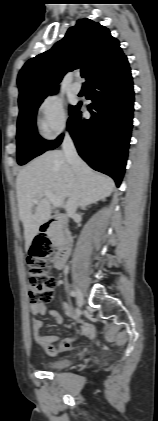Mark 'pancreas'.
I'll list each match as a JSON object with an SVG mask.
<instances>
[{"label": "pancreas", "instance_id": "cf45deb5", "mask_svg": "<svg viewBox=\"0 0 158 421\" xmlns=\"http://www.w3.org/2000/svg\"><path fill=\"white\" fill-rule=\"evenodd\" d=\"M49 236L53 245L56 246L59 243L60 238L62 236V230L59 228L58 225L54 224L49 229Z\"/></svg>", "mask_w": 158, "mask_h": 421}]
</instances>
